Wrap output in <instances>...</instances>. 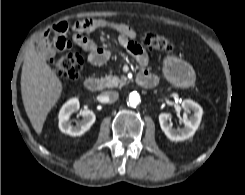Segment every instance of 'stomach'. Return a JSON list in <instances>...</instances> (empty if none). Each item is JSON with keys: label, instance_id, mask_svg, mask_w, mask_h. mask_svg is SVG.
I'll use <instances>...</instances> for the list:
<instances>
[{"label": "stomach", "instance_id": "1", "mask_svg": "<svg viewBox=\"0 0 245 195\" xmlns=\"http://www.w3.org/2000/svg\"><path fill=\"white\" fill-rule=\"evenodd\" d=\"M164 72L171 83L178 87H188L194 82V73L183 61L167 57L164 62Z\"/></svg>", "mask_w": 245, "mask_h": 195}]
</instances>
